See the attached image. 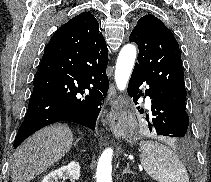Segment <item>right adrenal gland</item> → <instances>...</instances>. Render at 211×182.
Returning a JSON list of instances; mask_svg holds the SVG:
<instances>
[{
  "mask_svg": "<svg viewBox=\"0 0 211 182\" xmlns=\"http://www.w3.org/2000/svg\"><path fill=\"white\" fill-rule=\"evenodd\" d=\"M80 139H76V141L74 142V146L77 145V143L79 142Z\"/></svg>",
  "mask_w": 211,
  "mask_h": 182,
  "instance_id": "right-adrenal-gland-1",
  "label": "right adrenal gland"
}]
</instances>
